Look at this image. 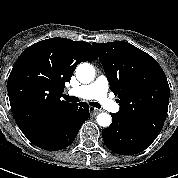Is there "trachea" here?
<instances>
[{"label":"trachea","instance_id":"3493384b","mask_svg":"<svg viewBox=\"0 0 178 178\" xmlns=\"http://www.w3.org/2000/svg\"><path fill=\"white\" fill-rule=\"evenodd\" d=\"M63 97L68 102H79V98L75 96L64 95ZM89 104L93 107L101 108V105L98 102H90Z\"/></svg>","mask_w":178,"mask_h":178}]
</instances>
